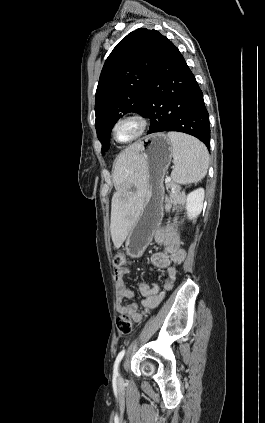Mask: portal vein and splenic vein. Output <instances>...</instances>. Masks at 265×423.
Here are the masks:
<instances>
[{"mask_svg": "<svg viewBox=\"0 0 265 423\" xmlns=\"http://www.w3.org/2000/svg\"><path fill=\"white\" fill-rule=\"evenodd\" d=\"M171 181V179L170 178H166L165 179V182H170Z\"/></svg>", "mask_w": 265, "mask_h": 423, "instance_id": "obj_1", "label": "portal vein and splenic vein"}]
</instances>
